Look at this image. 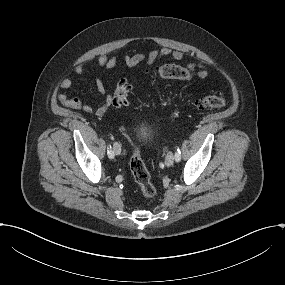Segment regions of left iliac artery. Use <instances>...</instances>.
Instances as JSON below:
<instances>
[{
  "instance_id": "obj_1",
  "label": "left iliac artery",
  "mask_w": 285,
  "mask_h": 285,
  "mask_svg": "<svg viewBox=\"0 0 285 285\" xmlns=\"http://www.w3.org/2000/svg\"><path fill=\"white\" fill-rule=\"evenodd\" d=\"M180 159H181V151L179 148H177L176 153H175V160L178 162L180 161Z\"/></svg>"
}]
</instances>
